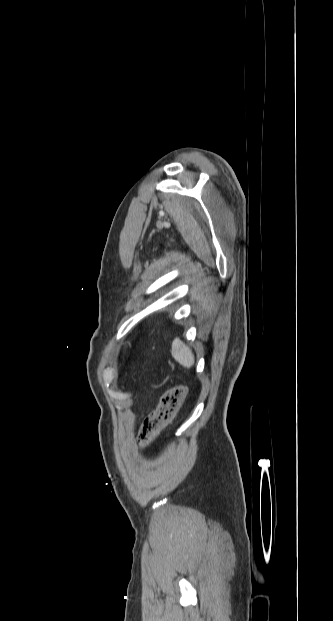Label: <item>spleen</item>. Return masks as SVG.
Returning <instances> with one entry per match:
<instances>
[{
  "instance_id": "1",
  "label": "spleen",
  "mask_w": 333,
  "mask_h": 621,
  "mask_svg": "<svg viewBox=\"0 0 333 621\" xmlns=\"http://www.w3.org/2000/svg\"><path fill=\"white\" fill-rule=\"evenodd\" d=\"M171 354L179 364L186 368H191L194 365V354L191 349L185 346L179 339L173 342Z\"/></svg>"
}]
</instances>
